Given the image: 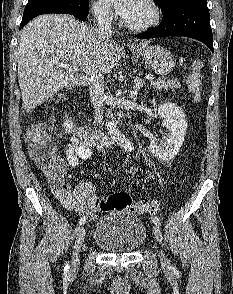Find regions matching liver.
Here are the masks:
<instances>
[{
  "mask_svg": "<svg viewBox=\"0 0 233 294\" xmlns=\"http://www.w3.org/2000/svg\"><path fill=\"white\" fill-rule=\"evenodd\" d=\"M120 51L112 40H99L94 29L72 16L41 15L33 19L23 29L17 50L24 107L30 111L59 89L89 84L98 67L103 74L109 73L119 63ZM55 61L76 66L79 71H64Z\"/></svg>",
  "mask_w": 233,
  "mask_h": 294,
  "instance_id": "liver-1",
  "label": "liver"
}]
</instances>
